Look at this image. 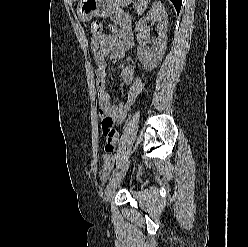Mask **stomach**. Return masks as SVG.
Listing matches in <instances>:
<instances>
[{
	"mask_svg": "<svg viewBox=\"0 0 248 247\" xmlns=\"http://www.w3.org/2000/svg\"><path fill=\"white\" fill-rule=\"evenodd\" d=\"M131 0H80L77 5V15L83 22L92 17H109L114 11L128 5Z\"/></svg>",
	"mask_w": 248,
	"mask_h": 247,
	"instance_id": "1",
	"label": "stomach"
}]
</instances>
